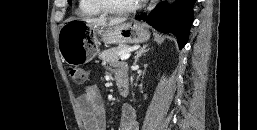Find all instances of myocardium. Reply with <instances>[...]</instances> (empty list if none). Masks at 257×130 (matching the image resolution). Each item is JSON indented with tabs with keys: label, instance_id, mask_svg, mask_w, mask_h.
<instances>
[{
	"label": "myocardium",
	"instance_id": "obj_1",
	"mask_svg": "<svg viewBox=\"0 0 257 130\" xmlns=\"http://www.w3.org/2000/svg\"><path fill=\"white\" fill-rule=\"evenodd\" d=\"M93 5L97 7L102 12L111 13V14H129L137 11L143 4L145 0H138L134 5L120 8L111 5L108 0H91Z\"/></svg>",
	"mask_w": 257,
	"mask_h": 130
}]
</instances>
